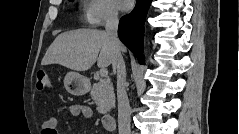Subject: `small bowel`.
Listing matches in <instances>:
<instances>
[{
	"instance_id": "c3829d8e",
	"label": "small bowel",
	"mask_w": 239,
	"mask_h": 134,
	"mask_svg": "<svg viewBox=\"0 0 239 134\" xmlns=\"http://www.w3.org/2000/svg\"><path fill=\"white\" fill-rule=\"evenodd\" d=\"M57 112L67 113L72 116H82L87 119L93 115V111L89 106L80 103L61 102L57 106ZM42 134H58L57 119L55 117L50 118L43 124Z\"/></svg>"
}]
</instances>
